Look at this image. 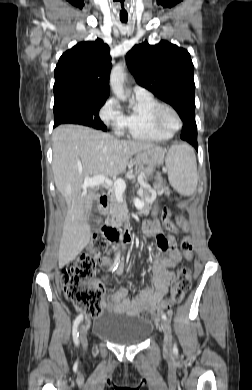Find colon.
<instances>
[{"label":"colon","instance_id":"5ec220e1","mask_svg":"<svg viewBox=\"0 0 252 390\" xmlns=\"http://www.w3.org/2000/svg\"><path fill=\"white\" fill-rule=\"evenodd\" d=\"M172 213L165 210L162 214V222L166 229L177 232L173 224ZM181 216H175L177 224L182 222ZM110 230H103L91 239L85 251L76 259L63 267L61 271V286L68 300L88 318H95L101 314L104 291L95 281L97 260L110 252ZM181 250L186 258L192 255V243L185 237L181 242ZM192 272L188 267L181 269L176 287L168 298V305L179 302L185 293L191 288ZM157 309H147L141 315L148 316Z\"/></svg>","mask_w":252,"mask_h":390}]
</instances>
